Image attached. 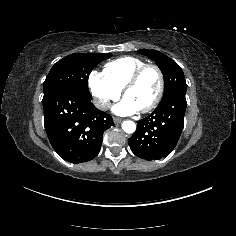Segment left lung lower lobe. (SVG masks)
Returning a JSON list of instances; mask_svg holds the SVG:
<instances>
[{
    "label": "left lung lower lobe",
    "mask_w": 236,
    "mask_h": 236,
    "mask_svg": "<svg viewBox=\"0 0 236 236\" xmlns=\"http://www.w3.org/2000/svg\"><path fill=\"white\" fill-rule=\"evenodd\" d=\"M186 92L178 91L161 100L157 108L138 121L135 133L128 139L132 152L141 159L158 160L176 147L187 107Z\"/></svg>",
    "instance_id": "left-lung-lower-lobe-1"
}]
</instances>
